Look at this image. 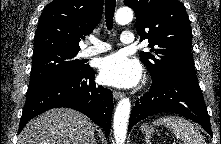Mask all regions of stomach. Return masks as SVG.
Masks as SVG:
<instances>
[{"mask_svg":"<svg viewBox=\"0 0 221 144\" xmlns=\"http://www.w3.org/2000/svg\"><path fill=\"white\" fill-rule=\"evenodd\" d=\"M141 131H142L143 133H145L146 135L150 136V135H152V134L154 133V127L149 126V125H147V124H143V125L141 126Z\"/></svg>","mask_w":221,"mask_h":144,"instance_id":"1","label":"stomach"}]
</instances>
